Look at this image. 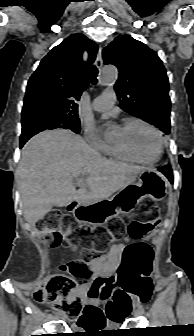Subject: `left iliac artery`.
Here are the masks:
<instances>
[{
	"label": "left iliac artery",
	"instance_id": "obj_1",
	"mask_svg": "<svg viewBox=\"0 0 194 336\" xmlns=\"http://www.w3.org/2000/svg\"><path fill=\"white\" fill-rule=\"evenodd\" d=\"M139 308H140V310H141L142 312H144V308H143L142 305H140Z\"/></svg>",
	"mask_w": 194,
	"mask_h": 336
}]
</instances>
